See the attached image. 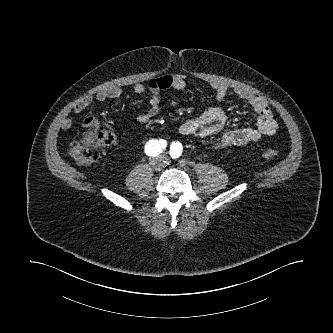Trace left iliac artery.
Segmentation results:
<instances>
[{"label":"left iliac artery","mask_w":333,"mask_h":333,"mask_svg":"<svg viewBox=\"0 0 333 333\" xmlns=\"http://www.w3.org/2000/svg\"><path fill=\"white\" fill-rule=\"evenodd\" d=\"M182 153V146L178 143H173L170 145V156L172 158H178Z\"/></svg>","instance_id":"44dca946"}]
</instances>
